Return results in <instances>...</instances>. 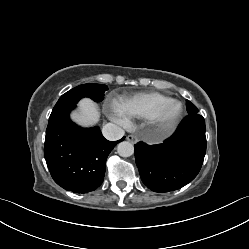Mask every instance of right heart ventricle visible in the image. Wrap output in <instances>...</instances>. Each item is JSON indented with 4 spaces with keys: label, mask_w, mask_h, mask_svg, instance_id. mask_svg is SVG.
<instances>
[{
    "label": "right heart ventricle",
    "mask_w": 249,
    "mask_h": 249,
    "mask_svg": "<svg viewBox=\"0 0 249 249\" xmlns=\"http://www.w3.org/2000/svg\"><path fill=\"white\" fill-rule=\"evenodd\" d=\"M171 97L159 92H140L122 100L117 106L130 118L149 119Z\"/></svg>",
    "instance_id": "right-heart-ventricle-1"
}]
</instances>
